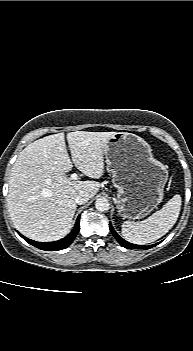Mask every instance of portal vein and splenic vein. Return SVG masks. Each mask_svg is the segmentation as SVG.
Returning <instances> with one entry per match:
<instances>
[{"instance_id": "1", "label": "portal vein and splenic vein", "mask_w": 193, "mask_h": 351, "mask_svg": "<svg viewBox=\"0 0 193 351\" xmlns=\"http://www.w3.org/2000/svg\"><path fill=\"white\" fill-rule=\"evenodd\" d=\"M70 179L71 180H77L78 179V175L76 173H73V174H71Z\"/></svg>"}]
</instances>
